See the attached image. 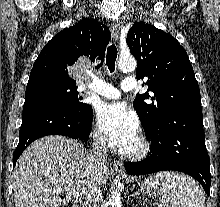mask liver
I'll use <instances>...</instances> for the list:
<instances>
[{"instance_id": "obj_1", "label": "liver", "mask_w": 220, "mask_h": 207, "mask_svg": "<svg viewBox=\"0 0 220 207\" xmlns=\"http://www.w3.org/2000/svg\"><path fill=\"white\" fill-rule=\"evenodd\" d=\"M96 178L106 184L109 169L97 172L90 167L89 153L81 143L64 136H46L34 141L23 152L13 172L15 207H64L79 199ZM57 188L66 192L59 197Z\"/></svg>"}]
</instances>
